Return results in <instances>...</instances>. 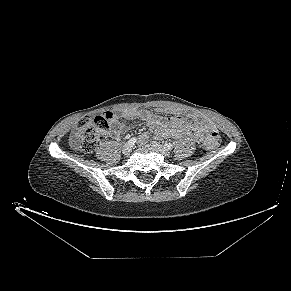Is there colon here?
<instances>
[{"mask_svg":"<svg viewBox=\"0 0 291 291\" xmlns=\"http://www.w3.org/2000/svg\"><path fill=\"white\" fill-rule=\"evenodd\" d=\"M116 116L112 112L98 115L96 117H85L77 122L70 137L71 144L84 152H92L98 142L104 140L111 126L115 123ZM208 149H216L220 145L218 133H212L206 140Z\"/></svg>","mask_w":291,"mask_h":291,"instance_id":"5ec220e1","label":"colon"}]
</instances>
